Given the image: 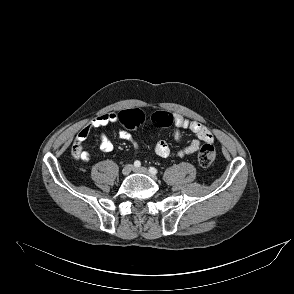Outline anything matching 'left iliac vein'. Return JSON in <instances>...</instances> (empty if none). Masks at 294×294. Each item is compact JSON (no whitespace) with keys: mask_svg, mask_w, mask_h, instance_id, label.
I'll list each match as a JSON object with an SVG mask.
<instances>
[{"mask_svg":"<svg viewBox=\"0 0 294 294\" xmlns=\"http://www.w3.org/2000/svg\"><path fill=\"white\" fill-rule=\"evenodd\" d=\"M133 171L136 173H141L149 176L151 179L157 181L158 178L155 174H152L147 168L145 167H138V168H133Z\"/></svg>","mask_w":294,"mask_h":294,"instance_id":"1","label":"left iliac vein"}]
</instances>
